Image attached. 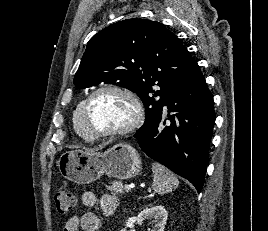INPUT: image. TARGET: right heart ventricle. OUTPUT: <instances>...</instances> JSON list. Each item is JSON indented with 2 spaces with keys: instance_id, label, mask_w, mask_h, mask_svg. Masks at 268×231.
I'll use <instances>...</instances> for the list:
<instances>
[{
  "instance_id": "e07e8e85",
  "label": "right heart ventricle",
  "mask_w": 268,
  "mask_h": 231,
  "mask_svg": "<svg viewBox=\"0 0 268 231\" xmlns=\"http://www.w3.org/2000/svg\"><path fill=\"white\" fill-rule=\"evenodd\" d=\"M83 101H81L75 108L74 112H73V126H74V130L76 131V133L81 136L83 139H89V135L84 127L83 124V119H82V106H83Z\"/></svg>"
}]
</instances>
